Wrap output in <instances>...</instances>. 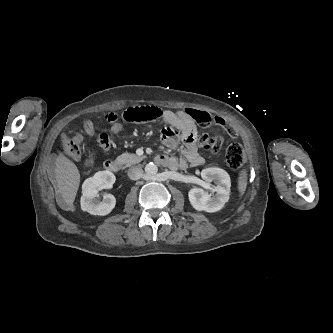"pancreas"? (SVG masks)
I'll return each instance as SVG.
<instances>
[{"mask_svg": "<svg viewBox=\"0 0 333 333\" xmlns=\"http://www.w3.org/2000/svg\"><path fill=\"white\" fill-rule=\"evenodd\" d=\"M144 157L137 156L135 154L123 153L118 156V160L125 165V167H130L134 164L141 162Z\"/></svg>", "mask_w": 333, "mask_h": 333, "instance_id": "cf45deb5", "label": "pancreas"}]
</instances>
